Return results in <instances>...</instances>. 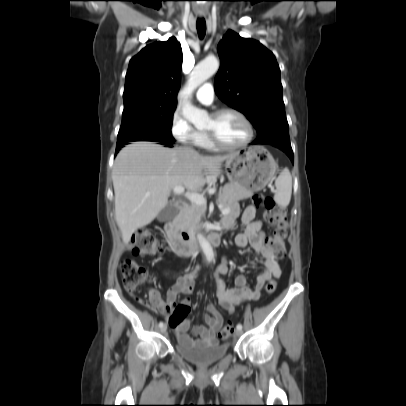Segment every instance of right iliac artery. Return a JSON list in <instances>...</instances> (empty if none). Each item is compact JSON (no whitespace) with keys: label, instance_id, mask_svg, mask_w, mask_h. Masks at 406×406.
Listing matches in <instances>:
<instances>
[{"label":"right iliac artery","instance_id":"82829eb1","mask_svg":"<svg viewBox=\"0 0 406 406\" xmlns=\"http://www.w3.org/2000/svg\"><path fill=\"white\" fill-rule=\"evenodd\" d=\"M163 325H164L163 322H160V323H159V327H160V328H161Z\"/></svg>","mask_w":406,"mask_h":406}]
</instances>
